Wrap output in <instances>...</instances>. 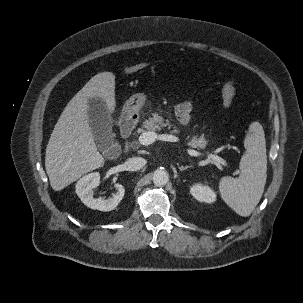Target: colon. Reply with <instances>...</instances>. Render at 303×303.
<instances>
[{"instance_id": "obj_1", "label": "colon", "mask_w": 303, "mask_h": 303, "mask_svg": "<svg viewBox=\"0 0 303 303\" xmlns=\"http://www.w3.org/2000/svg\"><path fill=\"white\" fill-rule=\"evenodd\" d=\"M146 63H138L135 65L124 67L125 73H134L143 70L147 67ZM221 96L225 107H231L236 99V88L235 83L232 80H225L221 87Z\"/></svg>"}]
</instances>
